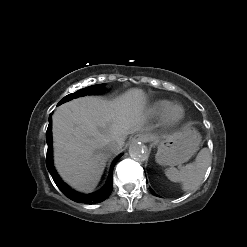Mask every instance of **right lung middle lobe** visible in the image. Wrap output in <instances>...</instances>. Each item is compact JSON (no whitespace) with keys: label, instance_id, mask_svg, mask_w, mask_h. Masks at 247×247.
I'll return each mask as SVG.
<instances>
[{"label":"right lung middle lobe","instance_id":"1","mask_svg":"<svg viewBox=\"0 0 247 247\" xmlns=\"http://www.w3.org/2000/svg\"><path fill=\"white\" fill-rule=\"evenodd\" d=\"M104 90H105V87L103 86V84L92 85V86L86 87V88H84L82 90H78L77 92H75L73 94L67 95L66 97H64L60 101V103H64L66 101H69V100L74 99V98H78L80 96L92 95V94H100Z\"/></svg>","mask_w":247,"mask_h":247}]
</instances>
